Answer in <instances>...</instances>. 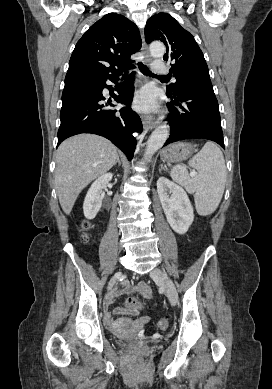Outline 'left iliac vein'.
Here are the masks:
<instances>
[{
	"mask_svg": "<svg viewBox=\"0 0 272 389\" xmlns=\"http://www.w3.org/2000/svg\"><path fill=\"white\" fill-rule=\"evenodd\" d=\"M151 278L160 283L163 287L166 296L172 305L178 302V293L171 279L159 268H154L150 273Z\"/></svg>",
	"mask_w": 272,
	"mask_h": 389,
	"instance_id": "1",
	"label": "left iliac vein"
}]
</instances>
